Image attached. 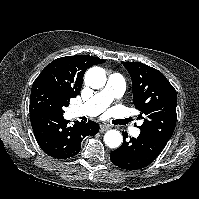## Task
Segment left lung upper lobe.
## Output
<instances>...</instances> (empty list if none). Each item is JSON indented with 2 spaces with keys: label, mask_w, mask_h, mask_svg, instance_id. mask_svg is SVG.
<instances>
[{
  "label": "left lung upper lobe",
  "mask_w": 199,
  "mask_h": 199,
  "mask_svg": "<svg viewBox=\"0 0 199 199\" xmlns=\"http://www.w3.org/2000/svg\"><path fill=\"white\" fill-rule=\"evenodd\" d=\"M132 79L133 103L144 122L141 133L167 143L176 126L177 94L158 70L140 62H123Z\"/></svg>",
  "instance_id": "obj_1"
}]
</instances>
